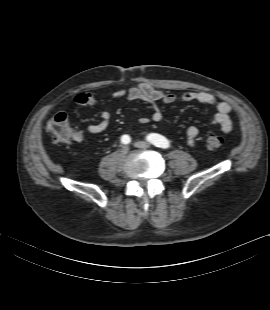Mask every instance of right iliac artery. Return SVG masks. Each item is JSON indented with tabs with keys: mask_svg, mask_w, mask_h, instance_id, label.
<instances>
[{
	"mask_svg": "<svg viewBox=\"0 0 270 310\" xmlns=\"http://www.w3.org/2000/svg\"><path fill=\"white\" fill-rule=\"evenodd\" d=\"M121 142H122L123 144H129V143L131 142L130 136H129V135H123V136L121 137Z\"/></svg>",
	"mask_w": 270,
	"mask_h": 310,
	"instance_id": "obj_1",
	"label": "right iliac artery"
}]
</instances>
